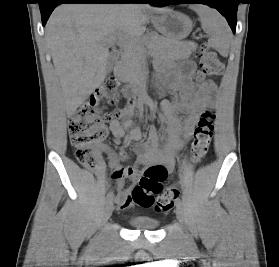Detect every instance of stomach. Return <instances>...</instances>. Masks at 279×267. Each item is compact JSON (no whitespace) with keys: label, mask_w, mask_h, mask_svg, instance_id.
<instances>
[{"label":"stomach","mask_w":279,"mask_h":267,"mask_svg":"<svg viewBox=\"0 0 279 267\" xmlns=\"http://www.w3.org/2000/svg\"><path fill=\"white\" fill-rule=\"evenodd\" d=\"M156 30L168 39L180 41L192 30L190 18L178 11L167 9L152 18Z\"/></svg>","instance_id":"0dacf381"}]
</instances>
